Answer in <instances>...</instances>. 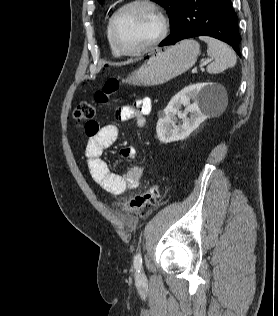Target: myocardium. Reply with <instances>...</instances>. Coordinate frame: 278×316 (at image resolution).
Returning a JSON list of instances; mask_svg holds the SVG:
<instances>
[{"label": "myocardium", "instance_id": "obj_1", "mask_svg": "<svg viewBox=\"0 0 278 316\" xmlns=\"http://www.w3.org/2000/svg\"><path fill=\"white\" fill-rule=\"evenodd\" d=\"M134 6H145L149 8L156 15L159 21V31L156 37L148 44L135 50H129V49L124 48L119 43L118 38H117V33H116V26H117V21L119 17L121 16V14ZM168 30H169V21L167 17L164 11L162 10V8L153 0H132V1L126 2L114 12L110 20V35H111L112 43L114 47L122 55H127V56H138L152 50L166 37Z\"/></svg>", "mask_w": 278, "mask_h": 316}]
</instances>
